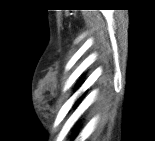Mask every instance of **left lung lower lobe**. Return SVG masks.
<instances>
[{
    "mask_svg": "<svg viewBox=\"0 0 155 141\" xmlns=\"http://www.w3.org/2000/svg\"><path fill=\"white\" fill-rule=\"evenodd\" d=\"M83 96H84V95H82V97H83ZM82 97H81V98H82ZM81 98L78 100V102L81 100Z\"/></svg>",
    "mask_w": 155,
    "mask_h": 141,
    "instance_id": "left-lung-lower-lobe-1",
    "label": "left lung lower lobe"
}]
</instances>
